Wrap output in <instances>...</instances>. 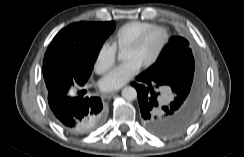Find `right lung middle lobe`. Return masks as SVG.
<instances>
[{
    "label": "right lung middle lobe",
    "mask_w": 244,
    "mask_h": 157,
    "mask_svg": "<svg viewBox=\"0 0 244 157\" xmlns=\"http://www.w3.org/2000/svg\"><path fill=\"white\" fill-rule=\"evenodd\" d=\"M115 27V22H79L54 37L43 60L48 96L67 85L87 81L104 41Z\"/></svg>",
    "instance_id": "right-lung-middle-lobe-1"
}]
</instances>
